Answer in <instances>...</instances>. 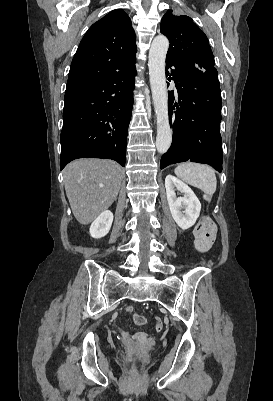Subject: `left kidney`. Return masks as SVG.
I'll use <instances>...</instances> for the list:
<instances>
[{
  "label": "left kidney",
  "mask_w": 273,
  "mask_h": 401,
  "mask_svg": "<svg viewBox=\"0 0 273 401\" xmlns=\"http://www.w3.org/2000/svg\"><path fill=\"white\" fill-rule=\"evenodd\" d=\"M175 186L177 190L184 192L183 196H176ZM165 188L170 213L180 229H190L195 225L201 211V203L195 192L184 184L182 180L167 174L165 178Z\"/></svg>",
  "instance_id": "obj_1"
}]
</instances>
